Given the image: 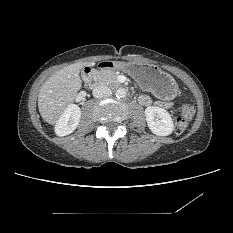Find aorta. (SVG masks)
I'll list each match as a JSON object with an SVG mask.
<instances>
[{"label":"aorta","instance_id":"obj_1","mask_svg":"<svg viewBox=\"0 0 233 233\" xmlns=\"http://www.w3.org/2000/svg\"><path fill=\"white\" fill-rule=\"evenodd\" d=\"M116 96L118 98H124L126 96V90L124 88H118L116 90Z\"/></svg>","mask_w":233,"mask_h":233}]
</instances>
